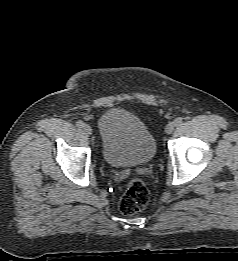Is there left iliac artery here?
Returning <instances> with one entry per match:
<instances>
[{
	"label": "left iliac artery",
	"mask_w": 238,
	"mask_h": 261,
	"mask_svg": "<svg viewBox=\"0 0 238 261\" xmlns=\"http://www.w3.org/2000/svg\"><path fill=\"white\" fill-rule=\"evenodd\" d=\"M182 122H183L182 118H177V119L174 120V123H175L176 126L181 125Z\"/></svg>",
	"instance_id": "left-iliac-artery-1"
}]
</instances>
